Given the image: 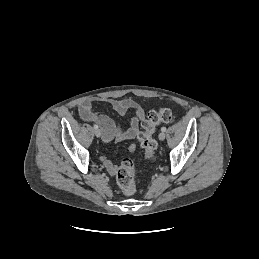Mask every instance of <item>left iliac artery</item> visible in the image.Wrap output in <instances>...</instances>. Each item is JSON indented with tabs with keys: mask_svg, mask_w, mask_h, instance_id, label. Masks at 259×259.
Masks as SVG:
<instances>
[{
	"mask_svg": "<svg viewBox=\"0 0 259 259\" xmlns=\"http://www.w3.org/2000/svg\"><path fill=\"white\" fill-rule=\"evenodd\" d=\"M161 131H162V132H165V131H166V127H162V128H161Z\"/></svg>",
	"mask_w": 259,
	"mask_h": 259,
	"instance_id": "obj_1",
	"label": "left iliac artery"
}]
</instances>
